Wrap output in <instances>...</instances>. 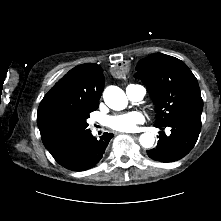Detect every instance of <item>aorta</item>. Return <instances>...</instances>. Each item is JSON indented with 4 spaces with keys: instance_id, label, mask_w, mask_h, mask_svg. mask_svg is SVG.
Listing matches in <instances>:
<instances>
[{
    "instance_id": "762f6f07",
    "label": "aorta",
    "mask_w": 221,
    "mask_h": 221,
    "mask_svg": "<svg viewBox=\"0 0 221 221\" xmlns=\"http://www.w3.org/2000/svg\"><path fill=\"white\" fill-rule=\"evenodd\" d=\"M106 105L113 110H123L128 104V99L124 91L117 86H108L103 93ZM139 142L144 148H151L155 142L153 133L145 132L140 135Z\"/></svg>"
}]
</instances>
